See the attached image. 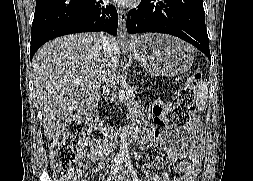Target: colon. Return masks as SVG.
I'll return each mask as SVG.
<instances>
[{
    "label": "colon",
    "mask_w": 253,
    "mask_h": 181,
    "mask_svg": "<svg viewBox=\"0 0 253 181\" xmlns=\"http://www.w3.org/2000/svg\"><path fill=\"white\" fill-rule=\"evenodd\" d=\"M200 76V72L197 71L194 79L185 83L178 92L172 122L179 130H189L196 124L193 105ZM88 136V127L79 116L68 118L59 129L51 146L56 181H80L84 170L82 157Z\"/></svg>",
    "instance_id": "obj_1"
}]
</instances>
